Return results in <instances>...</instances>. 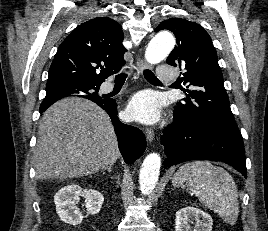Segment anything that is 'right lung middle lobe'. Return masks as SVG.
Wrapping results in <instances>:
<instances>
[{
  "label": "right lung middle lobe",
  "mask_w": 268,
  "mask_h": 231,
  "mask_svg": "<svg viewBox=\"0 0 268 231\" xmlns=\"http://www.w3.org/2000/svg\"><path fill=\"white\" fill-rule=\"evenodd\" d=\"M100 86L79 82V81H58L48 83L46 86V96L43 101L55 100L69 96H78L91 99L100 98L98 90Z\"/></svg>",
  "instance_id": "1"
}]
</instances>
